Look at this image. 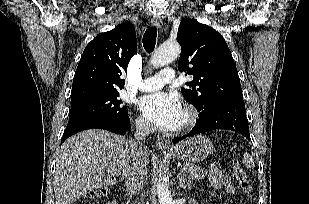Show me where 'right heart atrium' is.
Segmentation results:
<instances>
[{
	"mask_svg": "<svg viewBox=\"0 0 309 204\" xmlns=\"http://www.w3.org/2000/svg\"><path fill=\"white\" fill-rule=\"evenodd\" d=\"M135 122L137 128L142 132L148 133L152 129L151 124L143 117H138Z\"/></svg>",
	"mask_w": 309,
	"mask_h": 204,
	"instance_id": "1",
	"label": "right heart atrium"
}]
</instances>
